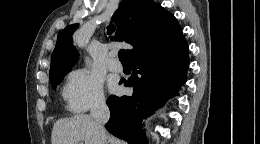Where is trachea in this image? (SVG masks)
I'll list each match as a JSON object with an SVG mask.
<instances>
[{
    "mask_svg": "<svg viewBox=\"0 0 260 144\" xmlns=\"http://www.w3.org/2000/svg\"><path fill=\"white\" fill-rule=\"evenodd\" d=\"M115 30L113 25L108 26V34H112ZM118 57L121 63H129V59L127 57L126 51L124 49L119 50Z\"/></svg>",
    "mask_w": 260,
    "mask_h": 144,
    "instance_id": "obj_1",
    "label": "trachea"
}]
</instances>
